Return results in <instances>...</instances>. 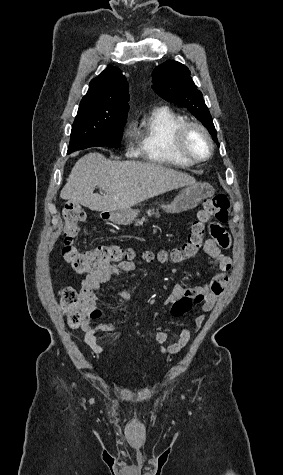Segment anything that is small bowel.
Segmentation results:
<instances>
[{
  "instance_id": "obj_1",
  "label": "small bowel",
  "mask_w": 283,
  "mask_h": 475,
  "mask_svg": "<svg viewBox=\"0 0 283 475\" xmlns=\"http://www.w3.org/2000/svg\"><path fill=\"white\" fill-rule=\"evenodd\" d=\"M204 228L209 237L204 243V251L209 256L212 264L220 272L214 274L207 283L201 285H174L165 299V304L167 305H173V300L177 298L178 293H195L196 304L201 306L203 312H210L228 283V273L232 268V261L229 256L222 252L221 248H232L234 246V241L229 239L232 233L231 229L223 219H214L212 223H206ZM134 269L135 265L130 261L108 262L89 273L82 283L81 301L83 315L81 328L84 331L85 343L97 355L103 352L102 346L98 343L97 335L100 333H113L115 326L111 322H97L95 320L100 315L97 309L96 293L112 277L125 272H131ZM119 296L125 303L130 301V294L125 289L119 292ZM172 315L175 317L181 316L175 315L173 309ZM151 319L155 330L154 340L160 346L162 354H177L190 341L193 334L192 330L187 326H182L178 341L165 347L164 344L168 338V333L161 328L157 313H152ZM204 322L205 315L203 313L195 315V332L202 328Z\"/></svg>"
}]
</instances>
